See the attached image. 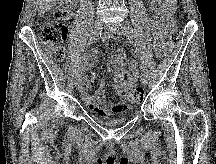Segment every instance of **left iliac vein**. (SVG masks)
<instances>
[{
	"instance_id": "4c4485c4",
	"label": "left iliac vein",
	"mask_w": 216,
	"mask_h": 164,
	"mask_svg": "<svg viewBox=\"0 0 216 164\" xmlns=\"http://www.w3.org/2000/svg\"><path fill=\"white\" fill-rule=\"evenodd\" d=\"M106 27L114 34L120 35V36H126V32L121 29L120 26L115 25V24H108ZM141 83L146 86L148 84V76L146 72L141 74Z\"/></svg>"
}]
</instances>
